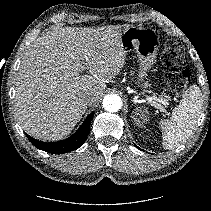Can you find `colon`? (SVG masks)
I'll return each instance as SVG.
<instances>
[{
  "mask_svg": "<svg viewBox=\"0 0 211 211\" xmlns=\"http://www.w3.org/2000/svg\"><path fill=\"white\" fill-rule=\"evenodd\" d=\"M161 60L168 67L165 75L168 86L174 93H181L190 80V72L180 68V65L186 61L183 46L178 41L168 40L165 44Z\"/></svg>",
  "mask_w": 211,
  "mask_h": 211,
  "instance_id": "5ec220e1",
  "label": "colon"
}]
</instances>
